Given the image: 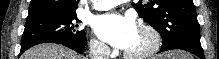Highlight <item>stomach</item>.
<instances>
[{
    "label": "stomach",
    "instance_id": "obj_1",
    "mask_svg": "<svg viewBox=\"0 0 219 59\" xmlns=\"http://www.w3.org/2000/svg\"><path fill=\"white\" fill-rule=\"evenodd\" d=\"M165 57H173L172 55H171V53L170 54H167V55H165Z\"/></svg>",
    "mask_w": 219,
    "mask_h": 59
}]
</instances>
